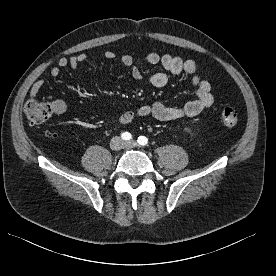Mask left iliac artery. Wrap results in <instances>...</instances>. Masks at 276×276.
<instances>
[{
  "label": "left iliac artery",
  "mask_w": 276,
  "mask_h": 276,
  "mask_svg": "<svg viewBox=\"0 0 276 276\" xmlns=\"http://www.w3.org/2000/svg\"><path fill=\"white\" fill-rule=\"evenodd\" d=\"M137 142L139 143V145L145 146L148 144V139L145 136H139Z\"/></svg>",
  "instance_id": "1"
}]
</instances>
